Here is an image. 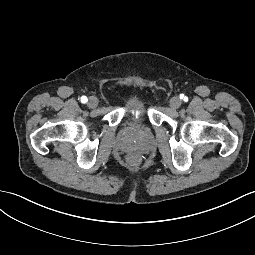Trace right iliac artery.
<instances>
[{
    "label": "right iliac artery",
    "instance_id": "82829eb1",
    "mask_svg": "<svg viewBox=\"0 0 255 255\" xmlns=\"http://www.w3.org/2000/svg\"><path fill=\"white\" fill-rule=\"evenodd\" d=\"M81 102L82 103H86L87 102V97L86 96H82L81 97Z\"/></svg>",
    "mask_w": 255,
    "mask_h": 255
}]
</instances>
